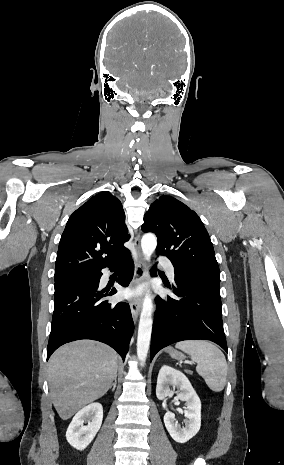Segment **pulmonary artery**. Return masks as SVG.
Returning a JSON list of instances; mask_svg holds the SVG:
<instances>
[{
	"mask_svg": "<svg viewBox=\"0 0 284 465\" xmlns=\"http://www.w3.org/2000/svg\"><path fill=\"white\" fill-rule=\"evenodd\" d=\"M160 261H161V262H166V261H167V256H166V255H161V256H160ZM168 276H169L171 279H174V271H173L172 268L168 270Z\"/></svg>",
	"mask_w": 284,
	"mask_h": 465,
	"instance_id": "pulmonary-artery-1",
	"label": "pulmonary artery"
}]
</instances>
